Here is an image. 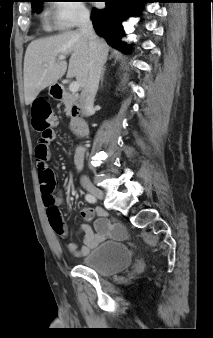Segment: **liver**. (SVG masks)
Returning a JSON list of instances; mask_svg holds the SVG:
<instances>
[{"mask_svg":"<svg viewBox=\"0 0 213 338\" xmlns=\"http://www.w3.org/2000/svg\"><path fill=\"white\" fill-rule=\"evenodd\" d=\"M104 52L109 47L100 40ZM71 54L67 76L75 77L84 87L89 75L90 50L88 40L78 31H69L53 37L32 41L24 58L25 104H31L37 95L48 86L55 85L66 72L67 62L56 61L60 55Z\"/></svg>","mask_w":213,"mask_h":338,"instance_id":"liver-1","label":"liver"}]
</instances>
